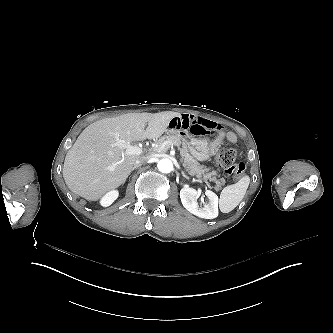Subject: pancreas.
Segmentation results:
<instances>
[{
	"mask_svg": "<svg viewBox=\"0 0 333 333\" xmlns=\"http://www.w3.org/2000/svg\"><path fill=\"white\" fill-rule=\"evenodd\" d=\"M167 141H171L176 143L177 146H181L180 156L183 161L182 166L187 169L191 176H195L199 180L212 181L215 184L212 189L216 191H219L220 187L225 185L226 180L224 178H219L220 174L217 170L213 167L201 165L192 154H190L188 143L179 133H168L166 136L161 137L156 144L159 146ZM170 147L171 145L166 144L164 146V151L168 150Z\"/></svg>",
	"mask_w": 333,
	"mask_h": 333,
	"instance_id": "obj_1",
	"label": "pancreas"
}]
</instances>
